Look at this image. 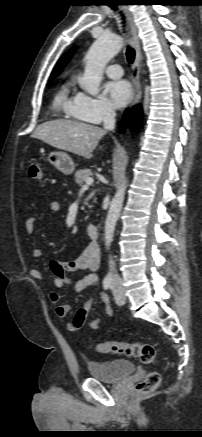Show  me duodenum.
Masks as SVG:
<instances>
[{"instance_id": "duodenum-1", "label": "duodenum", "mask_w": 202, "mask_h": 437, "mask_svg": "<svg viewBox=\"0 0 202 437\" xmlns=\"http://www.w3.org/2000/svg\"><path fill=\"white\" fill-rule=\"evenodd\" d=\"M86 232L91 239H96L99 234L98 226L95 223H90L86 227Z\"/></svg>"}]
</instances>
